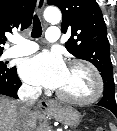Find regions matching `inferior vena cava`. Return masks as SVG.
<instances>
[{
    "instance_id": "inferior-vena-cava-1",
    "label": "inferior vena cava",
    "mask_w": 117,
    "mask_h": 131,
    "mask_svg": "<svg viewBox=\"0 0 117 131\" xmlns=\"http://www.w3.org/2000/svg\"><path fill=\"white\" fill-rule=\"evenodd\" d=\"M41 94L40 87H32L28 85H22L18 90L20 113L24 117L31 111V106L38 99ZM18 131H26V129H19Z\"/></svg>"
}]
</instances>
